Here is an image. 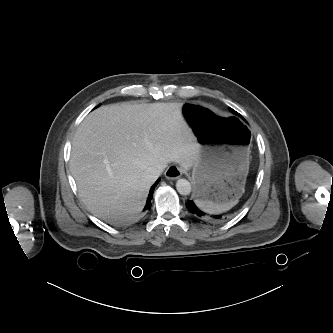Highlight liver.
<instances>
[{"label":"liver","mask_w":333,"mask_h":333,"mask_svg":"<svg viewBox=\"0 0 333 333\" xmlns=\"http://www.w3.org/2000/svg\"><path fill=\"white\" fill-rule=\"evenodd\" d=\"M181 103L113 104L89 114L76 130L72 175L89 211L109 222L135 221L154 179L149 168L194 166L200 145Z\"/></svg>","instance_id":"obj_1"}]
</instances>
